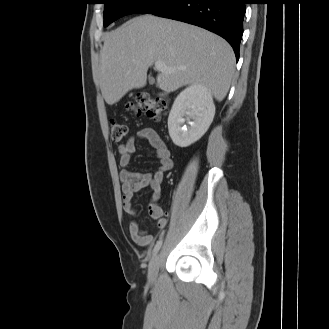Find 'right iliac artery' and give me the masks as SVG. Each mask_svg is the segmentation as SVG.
<instances>
[{
  "label": "right iliac artery",
  "instance_id": "82829eb1",
  "mask_svg": "<svg viewBox=\"0 0 329 329\" xmlns=\"http://www.w3.org/2000/svg\"><path fill=\"white\" fill-rule=\"evenodd\" d=\"M162 242H163L162 239H159V240L157 241L156 245H155L154 248H153V255H155V254L159 251V249H160V247H161V245H162Z\"/></svg>",
  "mask_w": 329,
  "mask_h": 329
}]
</instances>
